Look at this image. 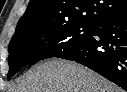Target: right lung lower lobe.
<instances>
[{
  "instance_id": "98d812e1",
  "label": "right lung lower lobe",
  "mask_w": 127,
  "mask_h": 92,
  "mask_svg": "<svg viewBox=\"0 0 127 92\" xmlns=\"http://www.w3.org/2000/svg\"><path fill=\"white\" fill-rule=\"evenodd\" d=\"M56 57L83 64L127 91V11L98 22L88 39Z\"/></svg>"
}]
</instances>
